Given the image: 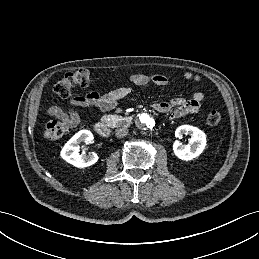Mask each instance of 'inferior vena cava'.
I'll return each mask as SVG.
<instances>
[{
  "label": "inferior vena cava",
  "instance_id": "obj_1",
  "mask_svg": "<svg viewBox=\"0 0 259 259\" xmlns=\"http://www.w3.org/2000/svg\"><path fill=\"white\" fill-rule=\"evenodd\" d=\"M128 134V129L127 128H119L116 129V137L117 138H123Z\"/></svg>",
  "mask_w": 259,
  "mask_h": 259
}]
</instances>
